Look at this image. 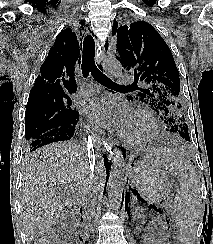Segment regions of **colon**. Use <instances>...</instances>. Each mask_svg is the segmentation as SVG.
<instances>
[{"label":"colon","mask_w":213,"mask_h":244,"mask_svg":"<svg viewBox=\"0 0 213 244\" xmlns=\"http://www.w3.org/2000/svg\"><path fill=\"white\" fill-rule=\"evenodd\" d=\"M37 244H54V243H52L49 239H44L39 241Z\"/></svg>","instance_id":"obj_1"}]
</instances>
